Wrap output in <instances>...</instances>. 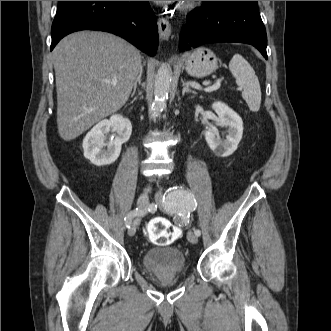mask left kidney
Listing matches in <instances>:
<instances>
[{"instance_id": "left-kidney-1", "label": "left kidney", "mask_w": 331, "mask_h": 331, "mask_svg": "<svg viewBox=\"0 0 331 331\" xmlns=\"http://www.w3.org/2000/svg\"><path fill=\"white\" fill-rule=\"evenodd\" d=\"M212 109L218 115L216 125L227 127V135L224 140H221L217 128L212 125L205 131V139L215 155L228 157L237 149L242 139L243 121L241 117L225 103L214 102Z\"/></svg>"}]
</instances>
